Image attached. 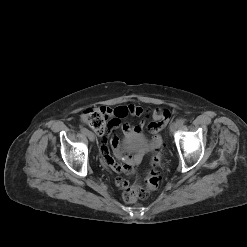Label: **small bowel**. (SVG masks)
Masks as SVG:
<instances>
[{
    "mask_svg": "<svg viewBox=\"0 0 247 247\" xmlns=\"http://www.w3.org/2000/svg\"><path fill=\"white\" fill-rule=\"evenodd\" d=\"M108 119V128L110 131H115L121 127L123 133L126 136L141 134L145 126V121L141 120L136 125L122 124V120L128 115L133 116H148L152 121L148 124L147 128L149 132L153 135V143L155 145L160 144L161 138L159 131L168 123L169 121V111L162 108H148L145 109L136 104H129L124 106H118L115 108H102ZM110 145L114 151V154L123 160V163H118L110 155L108 149V140L104 138L101 143V153L103 155L105 163L115 172L121 173H133L134 167L140 161V155L128 156L124 155L120 148V143L118 138L112 136L110 138ZM116 185L120 188H127L128 182L123 178H117L115 181Z\"/></svg>",
    "mask_w": 247,
    "mask_h": 247,
    "instance_id": "c3829d8e",
    "label": "small bowel"
}]
</instances>
